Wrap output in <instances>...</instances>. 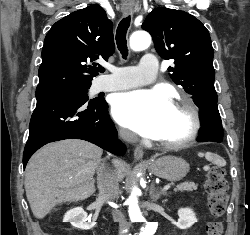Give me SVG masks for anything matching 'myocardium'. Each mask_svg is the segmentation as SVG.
<instances>
[{"instance_id": "1", "label": "myocardium", "mask_w": 250, "mask_h": 235, "mask_svg": "<svg viewBox=\"0 0 250 235\" xmlns=\"http://www.w3.org/2000/svg\"><path fill=\"white\" fill-rule=\"evenodd\" d=\"M178 110L185 111L190 118V128L187 134L179 139L172 141L156 140L155 142L167 149H176L192 144L201 130V115L196 104L189 98H180L173 105Z\"/></svg>"}]
</instances>
